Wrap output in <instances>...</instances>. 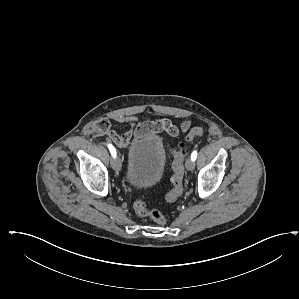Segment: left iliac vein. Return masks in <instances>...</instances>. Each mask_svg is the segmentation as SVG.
Returning <instances> with one entry per match:
<instances>
[{"mask_svg":"<svg viewBox=\"0 0 299 299\" xmlns=\"http://www.w3.org/2000/svg\"><path fill=\"white\" fill-rule=\"evenodd\" d=\"M185 166H186L187 170L192 171L194 169V166H195L194 161L192 159L188 158L187 161H186Z\"/></svg>","mask_w":299,"mask_h":299,"instance_id":"obj_1","label":"left iliac vein"}]
</instances>
